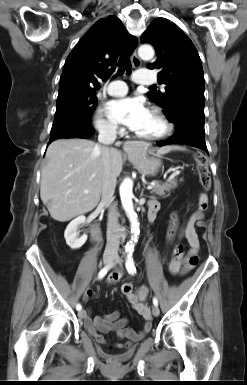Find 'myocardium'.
<instances>
[{"mask_svg":"<svg viewBox=\"0 0 247 385\" xmlns=\"http://www.w3.org/2000/svg\"><path fill=\"white\" fill-rule=\"evenodd\" d=\"M150 112L154 114L158 120L161 122L163 129L161 132L155 135H139L136 133V137L145 141H158L167 138L173 132V124L164 114V112L158 107H152Z\"/></svg>","mask_w":247,"mask_h":385,"instance_id":"f54148a6","label":"myocardium"}]
</instances>
